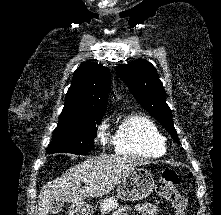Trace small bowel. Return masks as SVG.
Returning <instances> with one entry per match:
<instances>
[{"instance_id":"c3829d8e","label":"small bowel","mask_w":221,"mask_h":215,"mask_svg":"<svg viewBox=\"0 0 221 215\" xmlns=\"http://www.w3.org/2000/svg\"><path fill=\"white\" fill-rule=\"evenodd\" d=\"M133 209L140 215L158 214V208L151 203L137 204ZM130 210H132L131 207H122L121 209L117 210L113 215H129Z\"/></svg>"}]
</instances>
